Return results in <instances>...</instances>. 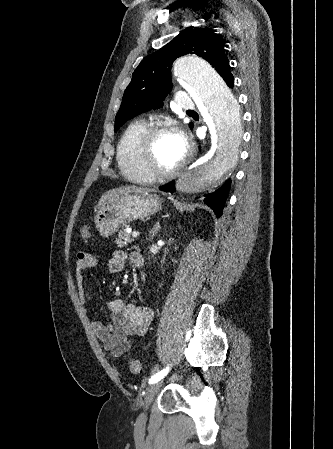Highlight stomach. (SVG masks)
Segmentation results:
<instances>
[{
    "label": "stomach",
    "mask_w": 333,
    "mask_h": 449,
    "mask_svg": "<svg viewBox=\"0 0 333 449\" xmlns=\"http://www.w3.org/2000/svg\"><path fill=\"white\" fill-rule=\"evenodd\" d=\"M157 194L123 195L107 200L98 208L95 224L101 236L108 237L132 220L144 219L162 208Z\"/></svg>",
    "instance_id": "1"
}]
</instances>
